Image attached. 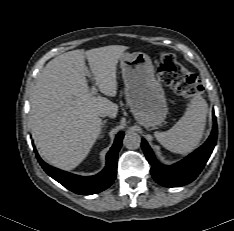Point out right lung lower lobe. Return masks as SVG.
Here are the masks:
<instances>
[{
    "label": "right lung lower lobe",
    "mask_w": 234,
    "mask_h": 231,
    "mask_svg": "<svg viewBox=\"0 0 234 231\" xmlns=\"http://www.w3.org/2000/svg\"><path fill=\"white\" fill-rule=\"evenodd\" d=\"M123 136V132L118 133L113 146L107 154L106 167L94 176L83 177L56 169L42 161L37 152L36 156L46 173L64 187L77 194L91 195L105 190L113 183L117 171L118 151L120 150Z\"/></svg>",
    "instance_id": "98d812e1"
}]
</instances>
